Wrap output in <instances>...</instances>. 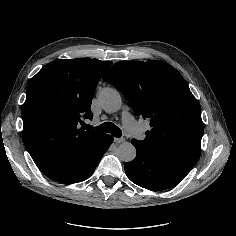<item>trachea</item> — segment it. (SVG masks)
<instances>
[{
  "mask_svg": "<svg viewBox=\"0 0 236 236\" xmlns=\"http://www.w3.org/2000/svg\"><path fill=\"white\" fill-rule=\"evenodd\" d=\"M83 126L85 129L90 128L88 124H84ZM97 129L102 132L111 133L116 138H120L122 135L121 129L112 122L102 123Z\"/></svg>",
  "mask_w": 236,
  "mask_h": 236,
  "instance_id": "trachea-1",
  "label": "trachea"
}]
</instances>
